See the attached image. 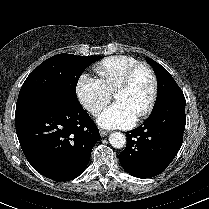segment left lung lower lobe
<instances>
[{
	"instance_id": "0a47b994",
	"label": "left lung lower lobe",
	"mask_w": 209,
	"mask_h": 209,
	"mask_svg": "<svg viewBox=\"0 0 209 209\" xmlns=\"http://www.w3.org/2000/svg\"><path fill=\"white\" fill-rule=\"evenodd\" d=\"M185 104V100L161 104L143 125L126 132L127 145L119 154L126 172L138 178H151L163 172L183 142Z\"/></svg>"
}]
</instances>
